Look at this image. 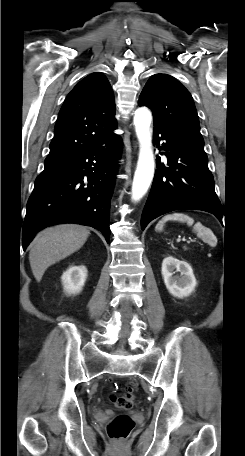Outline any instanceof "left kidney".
<instances>
[{
  "label": "left kidney",
  "instance_id": "obj_1",
  "mask_svg": "<svg viewBox=\"0 0 245 456\" xmlns=\"http://www.w3.org/2000/svg\"><path fill=\"white\" fill-rule=\"evenodd\" d=\"M180 272V276L174 275ZM162 276L169 293L177 298L189 296L197 285L191 266L168 256L162 262Z\"/></svg>",
  "mask_w": 245,
  "mask_h": 456
}]
</instances>
